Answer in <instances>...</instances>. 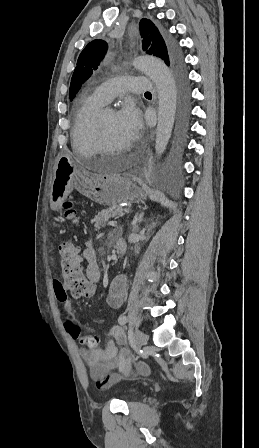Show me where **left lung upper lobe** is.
I'll return each mask as SVG.
<instances>
[{
    "instance_id": "1",
    "label": "left lung upper lobe",
    "mask_w": 259,
    "mask_h": 448,
    "mask_svg": "<svg viewBox=\"0 0 259 448\" xmlns=\"http://www.w3.org/2000/svg\"><path fill=\"white\" fill-rule=\"evenodd\" d=\"M139 29L143 37V50L147 54L161 58L167 65H170L175 56L173 44L171 42L166 44L157 27L148 19L144 18L140 21ZM106 51L107 44L103 40H93L84 48L79 55L71 79L70 99L75 97L82 83L93 73V69H97Z\"/></svg>"
}]
</instances>
